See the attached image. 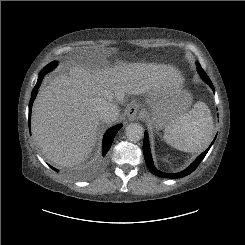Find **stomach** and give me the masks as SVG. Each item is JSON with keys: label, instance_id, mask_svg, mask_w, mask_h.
<instances>
[{"label": "stomach", "instance_id": "1", "mask_svg": "<svg viewBox=\"0 0 245 245\" xmlns=\"http://www.w3.org/2000/svg\"><path fill=\"white\" fill-rule=\"evenodd\" d=\"M191 103L192 97L183 89L181 82H168L153 90L147 99L150 119L157 129L167 127L189 113Z\"/></svg>", "mask_w": 245, "mask_h": 245}]
</instances>
